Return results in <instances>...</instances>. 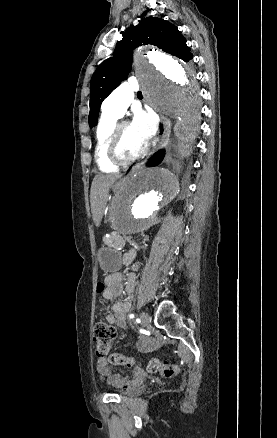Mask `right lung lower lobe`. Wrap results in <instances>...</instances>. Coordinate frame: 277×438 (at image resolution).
<instances>
[{
  "label": "right lung lower lobe",
  "mask_w": 277,
  "mask_h": 438,
  "mask_svg": "<svg viewBox=\"0 0 277 438\" xmlns=\"http://www.w3.org/2000/svg\"><path fill=\"white\" fill-rule=\"evenodd\" d=\"M164 157V151H159L155 154V156L150 160V166H156L158 165Z\"/></svg>",
  "instance_id": "obj_1"
}]
</instances>
